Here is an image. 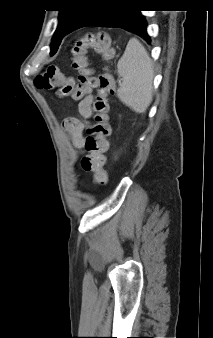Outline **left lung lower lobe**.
Listing matches in <instances>:
<instances>
[{
	"label": "left lung lower lobe",
	"mask_w": 213,
	"mask_h": 338,
	"mask_svg": "<svg viewBox=\"0 0 213 338\" xmlns=\"http://www.w3.org/2000/svg\"><path fill=\"white\" fill-rule=\"evenodd\" d=\"M113 8L96 7L90 8L71 27V31L86 27H118L133 32L142 37L147 43L151 39L147 33V23L140 10L132 9L124 0H113Z\"/></svg>",
	"instance_id": "left-lung-lower-lobe-1"
}]
</instances>
